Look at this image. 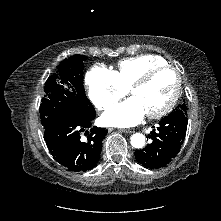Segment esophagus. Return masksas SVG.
Instances as JSON below:
<instances>
[{"label":"esophagus","mask_w":221,"mask_h":221,"mask_svg":"<svg viewBox=\"0 0 221 221\" xmlns=\"http://www.w3.org/2000/svg\"><path fill=\"white\" fill-rule=\"evenodd\" d=\"M122 132H124V133H133L134 130L133 129H122Z\"/></svg>","instance_id":"34e87169"}]
</instances>
